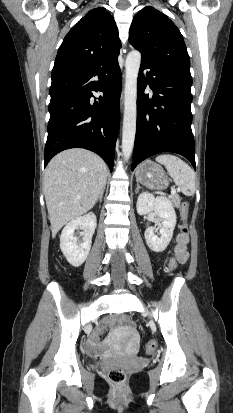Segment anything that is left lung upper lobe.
Wrapping results in <instances>:
<instances>
[{
  "label": "left lung upper lobe",
  "mask_w": 233,
  "mask_h": 413,
  "mask_svg": "<svg viewBox=\"0 0 233 413\" xmlns=\"http://www.w3.org/2000/svg\"><path fill=\"white\" fill-rule=\"evenodd\" d=\"M129 42L141 52L142 60L192 84L183 36L166 15L151 6L145 7L133 18Z\"/></svg>",
  "instance_id": "5c2ea615"
}]
</instances>
